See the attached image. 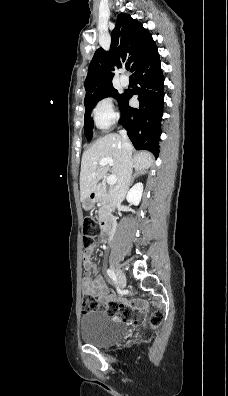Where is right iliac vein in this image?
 <instances>
[{
    "label": "right iliac vein",
    "mask_w": 228,
    "mask_h": 396,
    "mask_svg": "<svg viewBox=\"0 0 228 396\" xmlns=\"http://www.w3.org/2000/svg\"><path fill=\"white\" fill-rule=\"evenodd\" d=\"M115 273H116V276H117V278H118L120 284L124 286L125 283H126V276H125V274H124L120 269H118V268L115 269Z\"/></svg>",
    "instance_id": "63e3f726"
}]
</instances>
